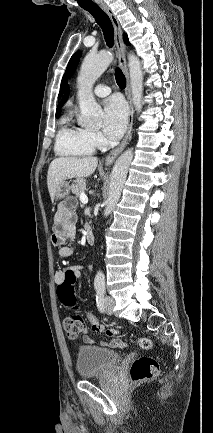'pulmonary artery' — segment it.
<instances>
[{"label":"pulmonary artery","mask_w":213,"mask_h":433,"mask_svg":"<svg viewBox=\"0 0 213 433\" xmlns=\"http://www.w3.org/2000/svg\"><path fill=\"white\" fill-rule=\"evenodd\" d=\"M110 92H111V89L107 85L100 84L94 88V94L98 97H105V96L109 95Z\"/></svg>","instance_id":"1"}]
</instances>
